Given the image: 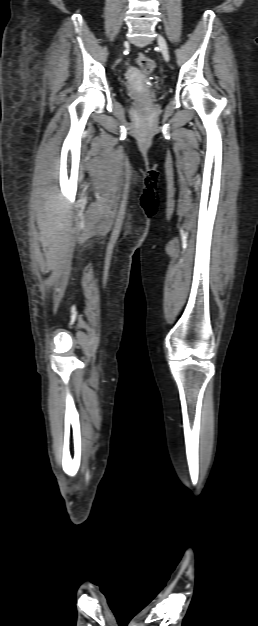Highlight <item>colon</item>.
Masks as SVG:
<instances>
[{
	"label": "colon",
	"instance_id": "colon-1",
	"mask_svg": "<svg viewBox=\"0 0 258 626\" xmlns=\"http://www.w3.org/2000/svg\"><path fill=\"white\" fill-rule=\"evenodd\" d=\"M137 63L140 68L146 73H151L155 67L154 61L143 53H140L138 55Z\"/></svg>",
	"mask_w": 258,
	"mask_h": 626
}]
</instances>
